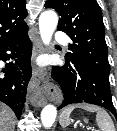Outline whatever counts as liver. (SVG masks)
Returning a JSON list of instances; mask_svg holds the SVG:
<instances>
[{
    "instance_id": "6515ba94",
    "label": "liver",
    "mask_w": 117,
    "mask_h": 131,
    "mask_svg": "<svg viewBox=\"0 0 117 131\" xmlns=\"http://www.w3.org/2000/svg\"><path fill=\"white\" fill-rule=\"evenodd\" d=\"M15 114L13 111L0 102V131H14Z\"/></svg>"
}]
</instances>
